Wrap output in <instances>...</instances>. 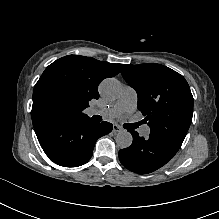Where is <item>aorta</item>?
Returning a JSON list of instances; mask_svg holds the SVG:
<instances>
[{"label": "aorta", "instance_id": "aorta-1", "mask_svg": "<svg viewBox=\"0 0 219 219\" xmlns=\"http://www.w3.org/2000/svg\"><path fill=\"white\" fill-rule=\"evenodd\" d=\"M121 83L115 78H108L101 82L99 90L103 97L107 99H116L121 92ZM116 143L120 148H128L133 141L132 135L128 131H120L116 135Z\"/></svg>", "mask_w": 219, "mask_h": 219}]
</instances>
